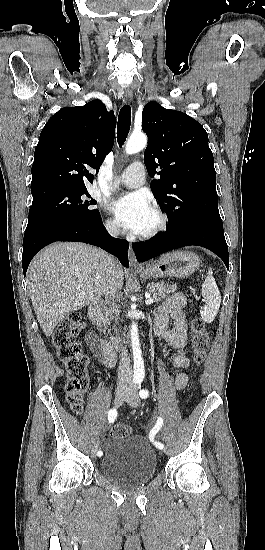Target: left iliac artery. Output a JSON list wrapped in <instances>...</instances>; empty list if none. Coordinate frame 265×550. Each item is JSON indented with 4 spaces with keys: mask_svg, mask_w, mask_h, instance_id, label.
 <instances>
[{
    "mask_svg": "<svg viewBox=\"0 0 265 550\" xmlns=\"http://www.w3.org/2000/svg\"><path fill=\"white\" fill-rule=\"evenodd\" d=\"M142 382V379H138L136 381V383L138 384H141ZM139 395L141 398L145 399L149 396V392L147 390H141L139 392ZM162 424H163V419L161 417L158 418L157 420V423L155 425V427L151 430L150 434H149V439L150 441L158 448V449H163L164 448V445L160 442H157L154 440V436L156 435V433L159 431V429L162 427Z\"/></svg>",
    "mask_w": 265,
    "mask_h": 550,
    "instance_id": "1",
    "label": "left iliac artery"
}]
</instances>
